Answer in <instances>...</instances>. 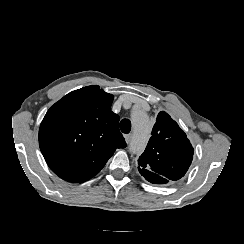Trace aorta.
Here are the masks:
<instances>
[{"instance_id":"obj_1","label":"aorta","mask_w":244,"mask_h":244,"mask_svg":"<svg viewBox=\"0 0 244 244\" xmlns=\"http://www.w3.org/2000/svg\"><path fill=\"white\" fill-rule=\"evenodd\" d=\"M131 117L134 126V135L130 142L129 149L133 153H141L150 136V122L147 114L140 110L134 111Z\"/></svg>"}]
</instances>
